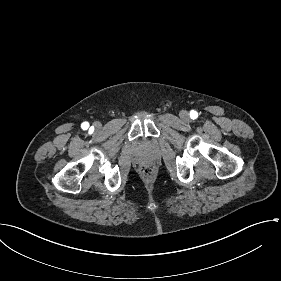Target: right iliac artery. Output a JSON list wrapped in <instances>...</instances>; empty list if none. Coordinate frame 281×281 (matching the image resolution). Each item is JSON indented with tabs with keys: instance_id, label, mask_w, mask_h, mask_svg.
Returning <instances> with one entry per match:
<instances>
[{
	"instance_id": "1",
	"label": "right iliac artery",
	"mask_w": 281,
	"mask_h": 281,
	"mask_svg": "<svg viewBox=\"0 0 281 281\" xmlns=\"http://www.w3.org/2000/svg\"><path fill=\"white\" fill-rule=\"evenodd\" d=\"M89 127V124L87 123V122H84L83 124H82V128L83 129H87Z\"/></svg>"
}]
</instances>
